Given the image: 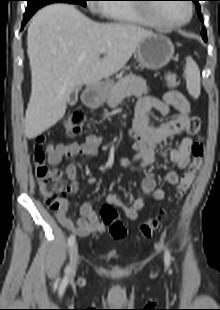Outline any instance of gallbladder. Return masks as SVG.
<instances>
[{
	"label": "gallbladder",
	"instance_id": "bac80fb5",
	"mask_svg": "<svg viewBox=\"0 0 220 310\" xmlns=\"http://www.w3.org/2000/svg\"><path fill=\"white\" fill-rule=\"evenodd\" d=\"M77 101H78V89L75 88L70 94L68 104L70 106H74L77 103Z\"/></svg>",
	"mask_w": 220,
	"mask_h": 310
}]
</instances>
